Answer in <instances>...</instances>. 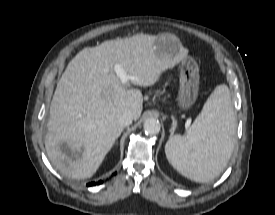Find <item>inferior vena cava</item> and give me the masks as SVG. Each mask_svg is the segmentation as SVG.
Wrapping results in <instances>:
<instances>
[{"label": "inferior vena cava", "instance_id": "inferior-vena-cava-1", "mask_svg": "<svg viewBox=\"0 0 275 215\" xmlns=\"http://www.w3.org/2000/svg\"><path fill=\"white\" fill-rule=\"evenodd\" d=\"M132 121H133L132 113L129 111H125L119 116V118L116 121V124L119 127L123 128V127L130 125L132 123Z\"/></svg>", "mask_w": 275, "mask_h": 215}]
</instances>
